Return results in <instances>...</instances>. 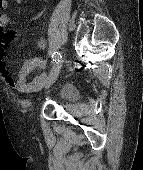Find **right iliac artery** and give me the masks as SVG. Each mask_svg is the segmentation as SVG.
I'll use <instances>...</instances> for the list:
<instances>
[{
  "mask_svg": "<svg viewBox=\"0 0 143 170\" xmlns=\"http://www.w3.org/2000/svg\"><path fill=\"white\" fill-rule=\"evenodd\" d=\"M61 59H62V56L59 52H54L52 54V61H53L54 64L59 63Z\"/></svg>",
  "mask_w": 143,
  "mask_h": 170,
  "instance_id": "obj_1",
  "label": "right iliac artery"
}]
</instances>
